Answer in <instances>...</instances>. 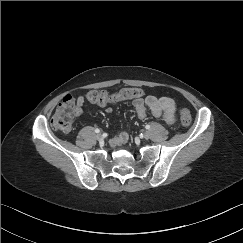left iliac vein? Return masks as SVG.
<instances>
[{"label":"left iliac vein","mask_w":243,"mask_h":243,"mask_svg":"<svg viewBox=\"0 0 243 243\" xmlns=\"http://www.w3.org/2000/svg\"><path fill=\"white\" fill-rule=\"evenodd\" d=\"M143 137L145 138V139H148L149 138V133L146 131V132H144L143 133Z\"/></svg>","instance_id":"1"}]
</instances>
